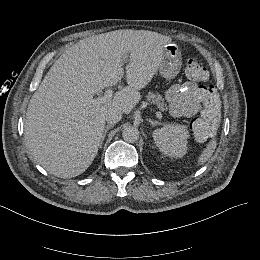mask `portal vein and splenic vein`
<instances>
[{"instance_id":"18ae733b","label":"portal vein and splenic vein","mask_w":260,"mask_h":260,"mask_svg":"<svg viewBox=\"0 0 260 260\" xmlns=\"http://www.w3.org/2000/svg\"><path fill=\"white\" fill-rule=\"evenodd\" d=\"M115 93V88H107L105 90V93H104V96L102 97V94L101 93H97L95 95L96 99H95V102H104L105 100H111L113 98V95ZM156 117L158 119H161L162 118V115L160 112H157L156 113Z\"/></svg>"}]
</instances>
